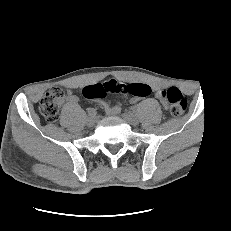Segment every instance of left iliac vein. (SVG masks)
Wrapping results in <instances>:
<instances>
[{"label":"left iliac vein","mask_w":231,"mask_h":231,"mask_svg":"<svg viewBox=\"0 0 231 231\" xmlns=\"http://www.w3.org/2000/svg\"><path fill=\"white\" fill-rule=\"evenodd\" d=\"M123 118L128 122L130 123L131 125H138L139 124V119L138 117L133 114L132 112H126L123 114Z\"/></svg>","instance_id":"1"}]
</instances>
